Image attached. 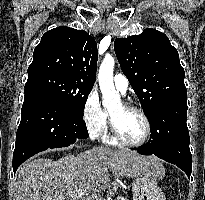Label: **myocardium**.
Wrapping results in <instances>:
<instances>
[{
	"label": "myocardium",
	"instance_id": "f54148a6",
	"mask_svg": "<svg viewBox=\"0 0 205 200\" xmlns=\"http://www.w3.org/2000/svg\"><path fill=\"white\" fill-rule=\"evenodd\" d=\"M124 109L128 110V111H133V112H136L138 113L144 123H145V133H144V136L143 138L138 141V142H130V141H127L126 139L123 138V136L120 134V132L118 131L111 115H110V130H111V135L112 137L115 139L116 142L124 145V146H127V147H140L142 145H144L150 138L151 136V132H152V126H151V122H150V119L149 117L147 116V114L145 113V111L143 109H141L140 107L136 106V105H133L131 103H123L122 104Z\"/></svg>",
	"mask_w": 205,
	"mask_h": 200
}]
</instances>
